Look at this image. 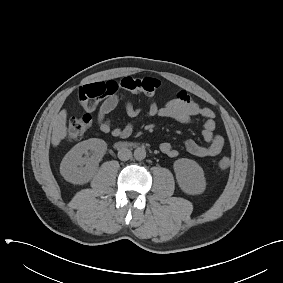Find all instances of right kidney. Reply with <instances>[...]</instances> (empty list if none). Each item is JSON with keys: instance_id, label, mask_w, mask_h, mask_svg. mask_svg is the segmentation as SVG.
Here are the masks:
<instances>
[{"instance_id": "obj_1", "label": "right kidney", "mask_w": 283, "mask_h": 283, "mask_svg": "<svg viewBox=\"0 0 283 283\" xmlns=\"http://www.w3.org/2000/svg\"><path fill=\"white\" fill-rule=\"evenodd\" d=\"M106 150L107 144L102 139L91 138L76 144L60 164L61 175L73 184L89 182Z\"/></svg>"}]
</instances>
